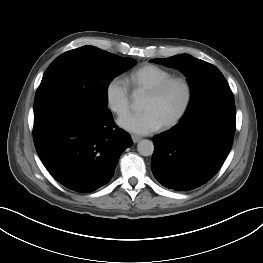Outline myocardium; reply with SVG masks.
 <instances>
[{"mask_svg": "<svg viewBox=\"0 0 263 263\" xmlns=\"http://www.w3.org/2000/svg\"><path fill=\"white\" fill-rule=\"evenodd\" d=\"M173 84H180L184 88L185 97L179 110L164 123L165 128H170L177 124L187 113L193 99V88L190 81L184 76H171L146 91V94L150 96L160 97Z\"/></svg>", "mask_w": 263, "mask_h": 263, "instance_id": "myocardium-1", "label": "myocardium"}]
</instances>
